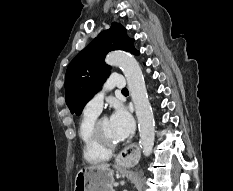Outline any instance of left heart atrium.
<instances>
[{"label": "left heart atrium", "mask_w": 233, "mask_h": 191, "mask_svg": "<svg viewBox=\"0 0 233 191\" xmlns=\"http://www.w3.org/2000/svg\"><path fill=\"white\" fill-rule=\"evenodd\" d=\"M110 124L117 141L126 139L134 131V120L123 107H118L114 110L110 118Z\"/></svg>", "instance_id": "left-heart-atrium-1"}]
</instances>
